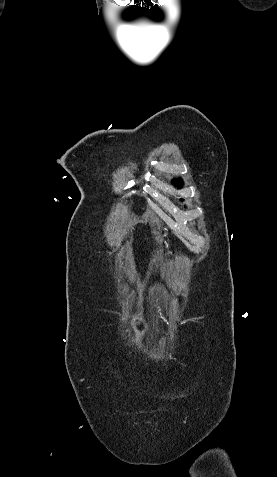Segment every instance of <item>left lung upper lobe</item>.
Returning a JSON list of instances; mask_svg holds the SVG:
<instances>
[{"label": "left lung upper lobe", "mask_w": 277, "mask_h": 477, "mask_svg": "<svg viewBox=\"0 0 277 477\" xmlns=\"http://www.w3.org/2000/svg\"><path fill=\"white\" fill-rule=\"evenodd\" d=\"M172 184H174L175 186H178V188L183 186L182 180L180 178L179 179H174L172 181Z\"/></svg>", "instance_id": "obj_1"}]
</instances>
